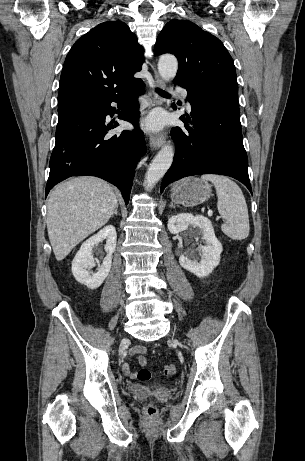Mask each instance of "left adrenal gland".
Returning a JSON list of instances; mask_svg holds the SVG:
<instances>
[{
  "label": "left adrenal gland",
  "instance_id": "1",
  "mask_svg": "<svg viewBox=\"0 0 305 461\" xmlns=\"http://www.w3.org/2000/svg\"><path fill=\"white\" fill-rule=\"evenodd\" d=\"M169 207H173V208H175V206H174L173 202H171V203H170Z\"/></svg>",
  "mask_w": 305,
  "mask_h": 461
}]
</instances>
